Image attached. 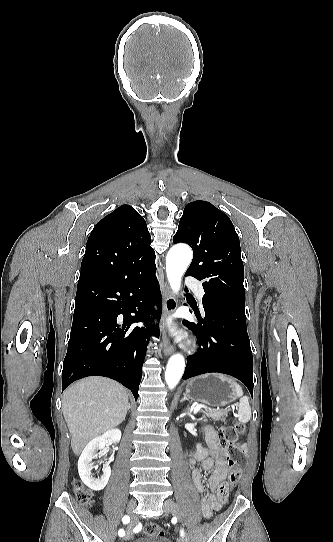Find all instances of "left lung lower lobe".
<instances>
[{
  "label": "left lung lower lobe",
  "mask_w": 333,
  "mask_h": 542,
  "mask_svg": "<svg viewBox=\"0 0 333 542\" xmlns=\"http://www.w3.org/2000/svg\"><path fill=\"white\" fill-rule=\"evenodd\" d=\"M189 302V301H188ZM202 319L197 307L198 323L183 320L199 341L198 351L187 358L183 379L204 373L229 374L242 381L253 395V357L246 329L245 305L216 300Z\"/></svg>",
  "instance_id": "obj_1"
}]
</instances>
